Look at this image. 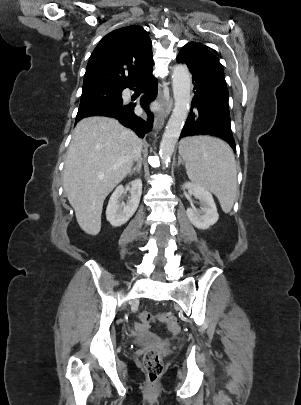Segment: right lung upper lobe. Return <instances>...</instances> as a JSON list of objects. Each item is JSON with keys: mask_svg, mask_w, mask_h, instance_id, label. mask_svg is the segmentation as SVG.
I'll list each match as a JSON object with an SVG mask.
<instances>
[{"mask_svg": "<svg viewBox=\"0 0 301 405\" xmlns=\"http://www.w3.org/2000/svg\"><path fill=\"white\" fill-rule=\"evenodd\" d=\"M153 67L152 43L141 26H127L108 33L92 52L83 90L133 86Z\"/></svg>", "mask_w": 301, "mask_h": 405, "instance_id": "obj_1", "label": "right lung upper lobe"}]
</instances>
